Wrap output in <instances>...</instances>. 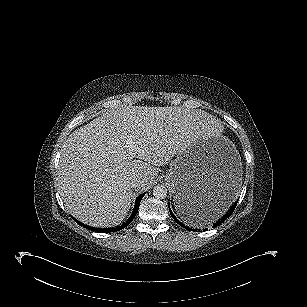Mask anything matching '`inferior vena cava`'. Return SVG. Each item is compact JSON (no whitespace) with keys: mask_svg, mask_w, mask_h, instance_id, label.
<instances>
[{"mask_svg":"<svg viewBox=\"0 0 307 307\" xmlns=\"http://www.w3.org/2000/svg\"><path fill=\"white\" fill-rule=\"evenodd\" d=\"M142 183H143V181L138 180V179H134V180H132V181L130 182V186H131L132 188H135V189H136V188L140 187Z\"/></svg>","mask_w":307,"mask_h":307,"instance_id":"obj_1","label":"inferior vena cava"}]
</instances>
